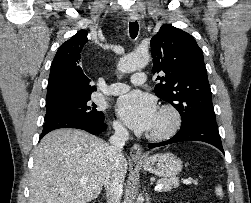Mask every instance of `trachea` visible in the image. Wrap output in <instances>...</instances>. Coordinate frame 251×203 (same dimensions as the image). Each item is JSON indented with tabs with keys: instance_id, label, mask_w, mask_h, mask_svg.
Instances as JSON below:
<instances>
[{
	"instance_id": "1",
	"label": "trachea",
	"mask_w": 251,
	"mask_h": 203,
	"mask_svg": "<svg viewBox=\"0 0 251 203\" xmlns=\"http://www.w3.org/2000/svg\"><path fill=\"white\" fill-rule=\"evenodd\" d=\"M138 30H139V25L137 21L129 23V33L132 39L136 38Z\"/></svg>"
}]
</instances>
